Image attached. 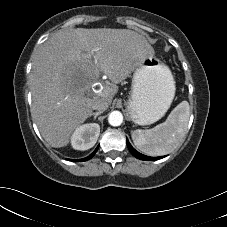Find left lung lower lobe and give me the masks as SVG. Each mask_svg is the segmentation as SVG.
Listing matches in <instances>:
<instances>
[{
  "label": "left lung lower lobe",
  "mask_w": 227,
  "mask_h": 227,
  "mask_svg": "<svg viewBox=\"0 0 227 227\" xmlns=\"http://www.w3.org/2000/svg\"><path fill=\"white\" fill-rule=\"evenodd\" d=\"M127 146H128L129 151L131 152V154H132L134 157L138 158V159H141V160H150V161H151V160H157V159L162 158V157H149V156H145V155H143V154L137 152V151L131 146V144L129 143L128 139H127Z\"/></svg>",
  "instance_id": "0a47b994"
}]
</instances>
